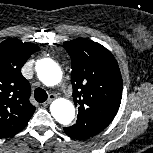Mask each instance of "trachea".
Returning <instances> with one entry per match:
<instances>
[{
	"instance_id": "3493384b",
	"label": "trachea",
	"mask_w": 153,
	"mask_h": 153,
	"mask_svg": "<svg viewBox=\"0 0 153 153\" xmlns=\"http://www.w3.org/2000/svg\"><path fill=\"white\" fill-rule=\"evenodd\" d=\"M34 97H35L37 102L43 103L47 100L48 95H47V93L44 89L37 88L34 91Z\"/></svg>"
}]
</instances>
